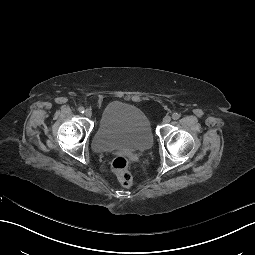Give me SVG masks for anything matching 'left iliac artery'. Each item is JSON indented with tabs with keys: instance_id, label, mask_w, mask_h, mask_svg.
I'll use <instances>...</instances> for the list:
<instances>
[{
	"instance_id": "1",
	"label": "left iliac artery",
	"mask_w": 255,
	"mask_h": 255,
	"mask_svg": "<svg viewBox=\"0 0 255 255\" xmlns=\"http://www.w3.org/2000/svg\"><path fill=\"white\" fill-rule=\"evenodd\" d=\"M172 118H173L174 120H177V119L180 118V115H179L178 113H173V114H172Z\"/></svg>"
}]
</instances>
